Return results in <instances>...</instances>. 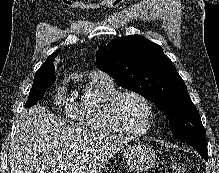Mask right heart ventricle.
<instances>
[{
    "instance_id": "obj_1",
    "label": "right heart ventricle",
    "mask_w": 219,
    "mask_h": 173,
    "mask_svg": "<svg viewBox=\"0 0 219 173\" xmlns=\"http://www.w3.org/2000/svg\"><path fill=\"white\" fill-rule=\"evenodd\" d=\"M117 92L114 83L90 79L83 99L71 105L75 122L90 131L101 134H118L106 115V103Z\"/></svg>"
}]
</instances>
